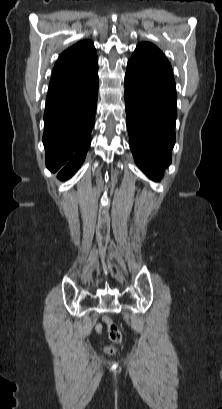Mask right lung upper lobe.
<instances>
[{"label": "right lung upper lobe", "mask_w": 222, "mask_h": 409, "mask_svg": "<svg viewBox=\"0 0 222 409\" xmlns=\"http://www.w3.org/2000/svg\"><path fill=\"white\" fill-rule=\"evenodd\" d=\"M98 70L96 49L90 40H81L65 50L58 58L47 96H61L83 88L82 76Z\"/></svg>", "instance_id": "right-lung-upper-lobe-1"}]
</instances>
